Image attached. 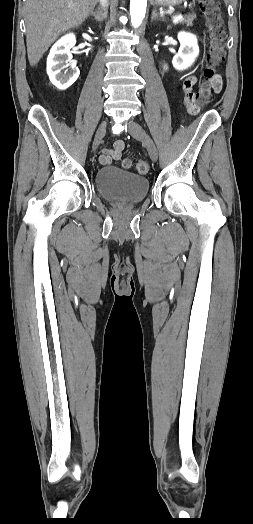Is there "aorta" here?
Here are the masks:
<instances>
[{"label": "aorta", "mask_w": 253, "mask_h": 524, "mask_svg": "<svg viewBox=\"0 0 253 524\" xmlns=\"http://www.w3.org/2000/svg\"><path fill=\"white\" fill-rule=\"evenodd\" d=\"M147 7V0H131L130 1V15L131 22L134 27L141 25Z\"/></svg>", "instance_id": "aorta-1"}]
</instances>
